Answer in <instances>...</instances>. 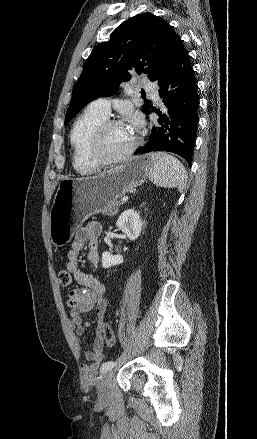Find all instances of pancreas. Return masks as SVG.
Masks as SVG:
<instances>
[{
  "instance_id": "obj_1",
  "label": "pancreas",
  "mask_w": 257,
  "mask_h": 439,
  "mask_svg": "<svg viewBox=\"0 0 257 439\" xmlns=\"http://www.w3.org/2000/svg\"><path fill=\"white\" fill-rule=\"evenodd\" d=\"M119 206H120V203L117 200H115V201H112L111 203L107 204L106 206H104L101 211L105 215L113 216L118 212Z\"/></svg>"
}]
</instances>
